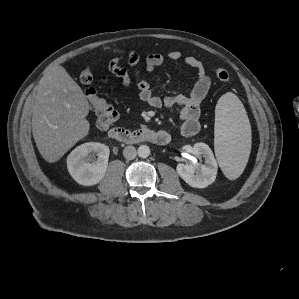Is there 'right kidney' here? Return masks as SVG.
<instances>
[{"mask_svg":"<svg viewBox=\"0 0 299 299\" xmlns=\"http://www.w3.org/2000/svg\"><path fill=\"white\" fill-rule=\"evenodd\" d=\"M109 153V147L98 142L81 144L67 157L68 171L80 185H96L106 173Z\"/></svg>","mask_w":299,"mask_h":299,"instance_id":"ca27d5eb","label":"right kidney"}]
</instances>
